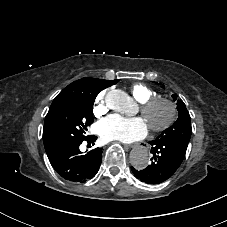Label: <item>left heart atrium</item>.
Masks as SVG:
<instances>
[{
  "instance_id": "obj_1",
  "label": "left heart atrium",
  "mask_w": 227,
  "mask_h": 227,
  "mask_svg": "<svg viewBox=\"0 0 227 227\" xmlns=\"http://www.w3.org/2000/svg\"><path fill=\"white\" fill-rule=\"evenodd\" d=\"M97 133L104 141L130 143L143 139L148 133V124L143 118L124 119L117 115L101 120Z\"/></svg>"
}]
</instances>
